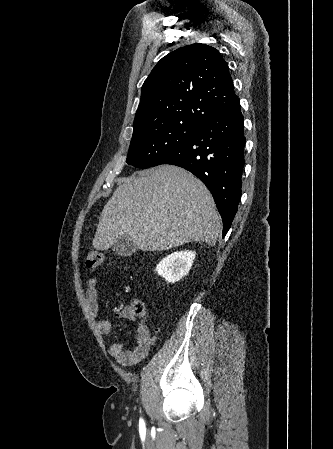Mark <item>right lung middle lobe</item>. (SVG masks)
Returning <instances> with one entry per match:
<instances>
[{"label":"right lung middle lobe","mask_w":333,"mask_h":449,"mask_svg":"<svg viewBox=\"0 0 333 449\" xmlns=\"http://www.w3.org/2000/svg\"><path fill=\"white\" fill-rule=\"evenodd\" d=\"M201 126L191 122L169 123L132 137L126 162L138 168L156 166Z\"/></svg>","instance_id":"1"}]
</instances>
